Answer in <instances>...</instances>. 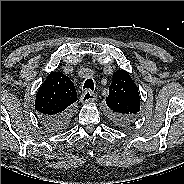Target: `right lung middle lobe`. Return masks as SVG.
<instances>
[{"label": "right lung middle lobe", "mask_w": 184, "mask_h": 184, "mask_svg": "<svg viewBox=\"0 0 184 184\" xmlns=\"http://www.w3.org/2000/svg\"><path fill=\"white\" fill-rule=\"evenodd\" d=\"M69 124V121L61 128H58V129H53L52 131H59V130H63L67 127V125Z\"/></svg>", "instance_id": "1"}]
</instances>
